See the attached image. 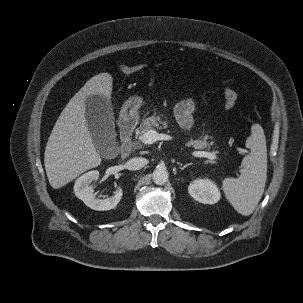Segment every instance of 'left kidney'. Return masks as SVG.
I'll return each mask as SVG.
<instances>
[{
    "instance_id": "1",
    "label": "left kidney",
    "mask_w": 303,
    "mask_h": 303,
    "mask_svg": "<svg viewBox=\"0 0 303 303\" xmlns=\"http://www.w3.org/2000/svg\"><path fill=\"white\" fill-rule=\"evenodd\" d=\"M188 192L196 201L204 204H215L221 197L217 185L210 179L194 180L190 183Z\"/></svg>"
}]
</instances>
